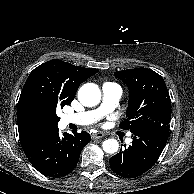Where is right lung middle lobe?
<instances>
[{"label":"right lung middle lobe","instance_id":"1","mask_svg":"<svg viewBox=\"0 0 194 194\" xmlns=\"http://www.w3.org/2000/svg\"><path fill=\"white\" fill-rule=\"evenodd\" d=\"M33 103L35 107L47 118H49L52 124L57 127L59 117L56 115V109L71 103L64 97L58 96L50 91H39L33 97Z\"/></svg>","mask_w":194,"mask_h":194}]
</instances>
